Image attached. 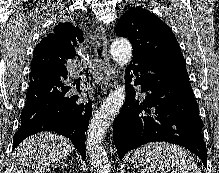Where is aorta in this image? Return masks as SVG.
<instances>
[{"mask_svg":"<svg viewBox=\"0 0 219 173\" xmlns=\"http://www.w3.org/2000/svg\"><path fill=\"white\" fill-rule=\"evenodd\" d=\"M110 52L113 60L121 67L126 66L132 59V46L125 38L114 41ZM125 97V87L117 86L90 120L86 138V151L89 161L97 173H110L111 171V163L102 142L107 129L121 110Z\"/></svg>","mask_w":219,"mask_h":173,"instance_id":"obj_1","label":"aorta"}]
</instances>
